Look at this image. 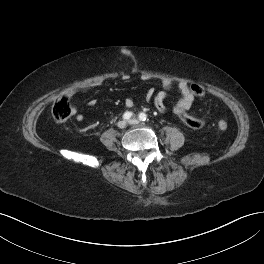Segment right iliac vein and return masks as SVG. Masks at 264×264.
I'll list each match as a JSON object with an SVG mask.
<instances>
[{"instance_id": "63e3f726", "label": "right iliac vein", "mask_w": 264, "mask_h": 264, "mask_svg": "<svg viewBox=\"0 0 264 264\" xmlns=\"http://www.w3.org/2000/svg\"><path fill=\"white\" fill-rule=\"evenodd\" d=\"M126 125H127V122L124 120L118 122V127L120 129H124L126 127Z\"/></svg>"}]
</instances>
